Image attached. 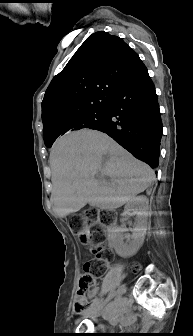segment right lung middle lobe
Listing matches in <instances>:
<instances>
[{"label":"right lung middle lobe","mask_w":193,"mask_h":336,"mask_svg":"<svg viewBox=\"0 0 193 336\" xmlns=\"http://www.w3.org/2000/svg\"><path fill=\"white\" fill-rule=\"evenodd\" d=\"M108 111L107 108L98 109L92 112H89L85 115L79 117L73 124V130H80L83 128L89 129H101L107 122ZM56 138L45 139V145L50 148Z\"/></svg>","instance_id":"obj_1"}]
</instances>
